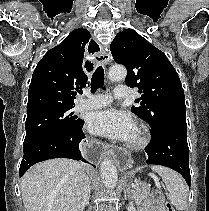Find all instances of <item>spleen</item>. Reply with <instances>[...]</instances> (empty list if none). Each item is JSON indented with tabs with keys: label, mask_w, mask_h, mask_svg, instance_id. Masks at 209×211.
I'll list each match as a JSON object with an SVG mask.
<instances>
[{
	"label": "spleen",
	"mask_w": 209,
	"mask_h": 211,
	"mask_svg": "<svg viewBox=\"0 0 209 211\" xmlns=\"http://www.w3.org/2000/svg\"><path fill=\"white\" fill-rule=\"evenodd\" d=\"M152 170L162 178L170 202L177 210H185L188 200V187L183 178L177 172L163 166H152Z\"/></svg>",
	"instance_id": "3e777b00"
}]
</instances>
